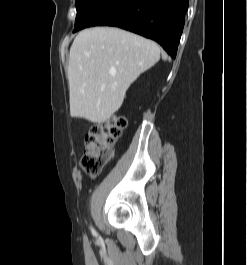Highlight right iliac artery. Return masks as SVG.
<instances>
[{
	"mask_svg": "<svg viewBox=\"0 0 247 265\" xmlns=\"http://www.w3.org/2000/svg\"><path fill=\"white\" fill-rule=\"evenodd\" d=\"M91 231L93 235H96V231L91 227Z\"/></svg>",
	"mask_w": 247,
	"mask_h": 265,
	"instance_id": "right-iliac-artery-1",
	"label": "right iliac artery"
}]
</instances>
